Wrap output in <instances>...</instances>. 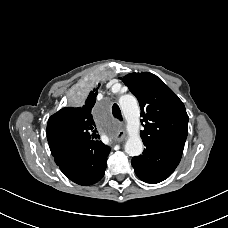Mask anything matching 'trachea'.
I'll use <instances>...</instances> for the list:
<instances>
[{
  "label": "trachea",
  "mask_w": 228,
  "mask_h": 228,
  "mask_svg": "<svg viewBox=\"0 0 228 228\" xmlns=\"http://www.w3.org/2000/svg\"><path fill=\"white\" fill-rule=\"evenodd\" d=\"M112 113L115 118H117L119 121H122L121 110L117 104L112 106Z\"/></svg>",
  "instance_id": "3493384b"
}]
</instances>
